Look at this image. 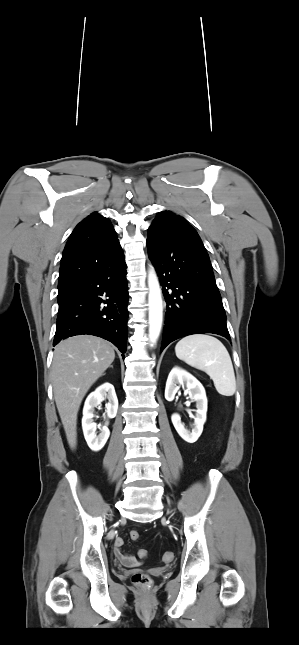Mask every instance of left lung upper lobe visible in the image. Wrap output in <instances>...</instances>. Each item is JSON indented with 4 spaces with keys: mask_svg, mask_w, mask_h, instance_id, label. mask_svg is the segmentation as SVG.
Listing matches in <instances>:
<instances>
[{
    "mask_svg": "<svg viewBox=\"0 0 299 645\" xmlns=\"http://www.w3.org/2000/svg\"><path fill=\"white\" fill-rule=\"evenodd\" d=\"M171 222H181V223H187L182 217L170 212V211H162L159 212L154 219L151 227H161L164 226L167 223Z\"/></svg>",
    "mask_w": 299,
    "mask_h": 645,
    "instance_id": "obj_1",
    "label": "left lung upper lobe"
}]
</instances>
